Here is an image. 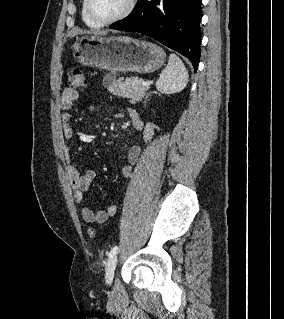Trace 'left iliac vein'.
<instances>
[{
    "label": "left iliac vein",
    "instance_id": "1",
    "mask_svg": "<svg viewBox=\"0 0 284 319\" xmlns=\"http://www.w3.org/2000/svg\"><path fill=\"white\" fill-rule=\"evenodd\" d=\"M117 256L114 255L113 257H111L107 264H106V269H105V279H106V283L107 284H111L113 281V276H114V271H115V267L117 264Z\"/></svg>",
    "mask_w": 284,
    "mask_h": 319
}]
</instances>
